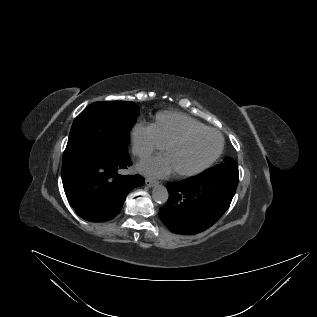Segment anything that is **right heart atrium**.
Instances as JSON below:
<instances>
[{"mask_svg":"<svg viewBox=\"0 0 317 317\" xmlns=\"http://www.w3.org/2000/svg\"><path fill=\"white\" fill-rule=\"evenodd\" d=\"M130 136L132 152L139 158H146L163 147L155 136L151 125L144 122H137L132 127Z\"/></svg>","mask_w":317,"mask_h":317,"instance_id":"1","label":"right heart atrium"}]
</instances>
